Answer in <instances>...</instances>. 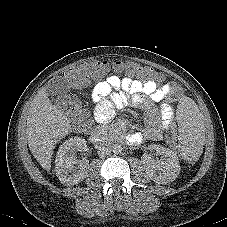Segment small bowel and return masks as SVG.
<instances>
[{"label": "small bowel", "instance_id": "c3829d8e", "mask_svg": "<svg viewBox=\"0 0 227 227\" xmlns=\"http://www.w3.org/2000/svg\"><path fill=\"white\" fill-rule=\"evenodd\" d=\"M170 91L168 84L158 86L156 82L138 80L130 77L111 75L99 81L93 88L91 99L95 104L94 118L97 123H108L114 116L115 108L121 104L133 103L146 106L151 110L148 126L142 133L129 136L132 143H140L143 139H158L167 133L165 125L174 122L172 108L163 103ZM154 105H159L154 109Z\"/></svg>", "mask_w": 227, "mask_h": 227}]
</instances>
